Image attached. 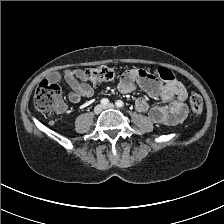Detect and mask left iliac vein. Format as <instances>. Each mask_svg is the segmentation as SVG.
<instances>
[{"mask_svg":"<svg viewBox=\"0 0 224 224\" xmlns=\"http://www.w3.org/2000/svg\"><path fill=\"white\" fill-rule=\"evenodd\" d=\"M114 107H115V105L112 104V103H110V104L104 106L103 108H104V109H112V108H114Z\"/></svg>","mask_w":224,"mask_h":224,"instance_id":"1","label":"left iliac vein"}]
</instances>
